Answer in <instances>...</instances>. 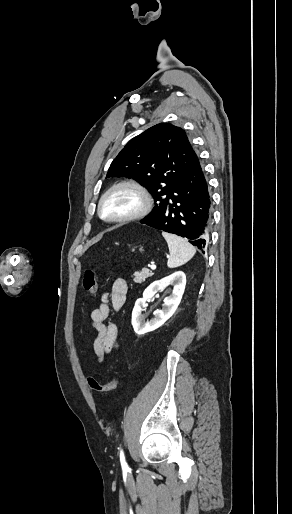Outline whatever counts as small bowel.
<instances>
[{"label": "small bowel", "instance_id": "small-bowel-1", "mask_svg": "<svg viewBox=\"0 0 292 514\" xmlns=\"http://www.w3.org/2000/svg\"><path fill=\"white\" fill-rule=\"evenodd\" d=\"M128 284L125 279L113 281L110 291L102 295L101 304L91 312V327L96 331L92 341L93 351L99 363L104 357L119 348V328L114 322L106 323L111 310L119 311L124 306Z\"/></svg>", "mask_w": 292, "mask_h": 514}]
</instances>
